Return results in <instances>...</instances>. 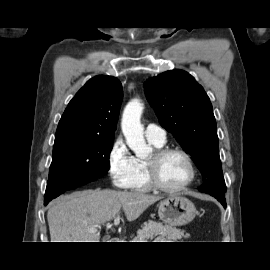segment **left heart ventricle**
Segmentation results:
<instances>
[{
	"mask_svg": "<svg viewBox=\"0 0 270 270\" xmlns=\"http://www.w3.org/2000/svg\"><path fill=\"white\" fill-rule=\"evenodd\" d=\"M157 172L161 183L168 187H177L189 177L187 162L183 156L177 153H171L163 157L158 162Z\"/></svg>",
	"mask_w": 270,
	"mask_h": 270,
	"instance_id": "1",
	"label": "left heart ventricle"
}]
</instances>
